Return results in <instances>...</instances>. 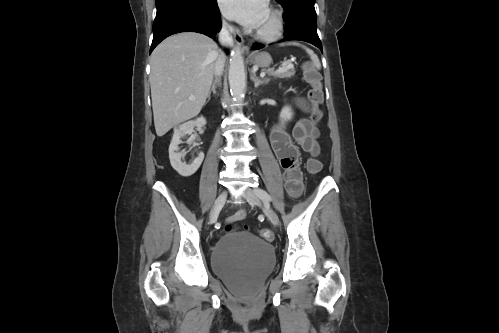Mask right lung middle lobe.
Masks as SVG:
<instances>
[{
    "mask_svg": "<svg viewBox=\"0 0 499 333\" xmlns=\"http://www.w3.org/2000/svg\"><path fill=\"white\" fill-rule=\"evenodd\" d=\"M210 0H156L157 9L163 5L173 3V2H186L192 5L203 6Z\"/></svg>",
    "mask_w": 499,
    "mask_h": 333,
    "instance_id": "dd1d6c3e",
    "label": "right lung middle lobe"
}]
</instances>
